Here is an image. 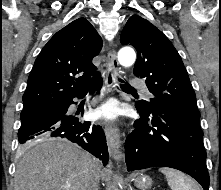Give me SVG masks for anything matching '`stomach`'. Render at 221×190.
<instances>
[{"label":"stomach","instance_id":"1","mask_svg":"<svg viewBox=\"0 0 221 190\" xmlns=\"http://www.w3.org/2000/svg\"><path fill=\"white\" fill-rule=\"evenodd\" d=\"M134 184L141 190H147L152 185V179L147 175H136L134 177Z\"/></svg>","mask_w":221,"mask_h":190}]
</instances>
